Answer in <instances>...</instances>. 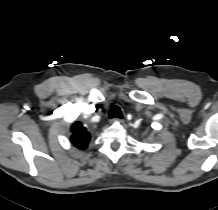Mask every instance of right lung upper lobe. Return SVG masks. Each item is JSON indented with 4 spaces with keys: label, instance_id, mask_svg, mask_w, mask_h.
Wrapping results in <instances>:
<instances>
[{
    "label": "right lung upper lobe",
    "instance_id": "right-lung-upper-lobe-1",
    "mask_svg": "<svg viewBox=\"0 0 218 210\" xmlns=\"http://www.w3.org/2000/svg\"><path fill=\"white\" fill-rule=\"evenodd\" d=\"M71 142L79 149H85L90 141V134L80 122L73 123L71 127Z\"/></svg>",
    "mask_w": 218,
    "mask_h": 210
}]
</instances>
